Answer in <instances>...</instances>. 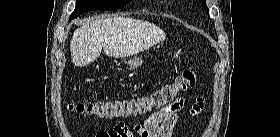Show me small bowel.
Listing matches in <instances>:
<instances>
[{
	"label": "small bowel",
	"mask_w": 280,
	"mask_h": 137,
	"mask_svg": "<svg viewBox=\"0 0 280 137\" xmlns=\"http://www.w3.org/2000/svg\"><path fill=\"white\" fill-rule=\"evenodd\" d=\"M187 107L185 98H177L173 102L165 105L160 110L150 114L143 122L136 124L132 129L123 123L115 126L114 129L98 131L94 137H128L135 132L142 137H171L174 129L182 119V113ZM204 108V100L198 97L194 103L188 108L189 116H196Z\"/></svg>",
	"instance_id": "1"
}]
</instances>
